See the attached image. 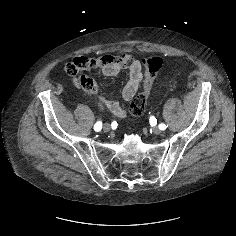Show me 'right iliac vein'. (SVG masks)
Wrapping results in <instances>:
<instances>
[{
	"label": "right iliac vein",
	"mask_w": 236,
	"mask_h": 236,
	"mask_svg": "<svg viewBox=\"0 0 236 236\" xmlns=\"http://www.w3.org/2000/svg\"><path fill=\"white\" fill-rule=\"evenodd\" d=\"M103 130H104L105 132H109V131L111 130L110 124L105 123L104 126H103Z\"/></svg>",
	"instance_id": "right-iliac-vein-1"
}]
</instances>
